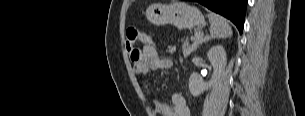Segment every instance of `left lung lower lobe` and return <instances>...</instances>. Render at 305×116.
<instances>
[{
  "instance_id": "1",
  "label": "left lung lower lobe",
  "mask_w": 305,
  "mask_h": 116,
  "mask_svg": "<svg viewBox=\"0 0 305 116\" xmlns=\"http://www.w3.org/2000/svg\"><path fill=\"white\" fill-rule=\"evenodd\" d=\"M206 6L210 10L230 19L238 28L243 31L244 17L247 0H194Z\"/></svg>"
}]
</instances>
